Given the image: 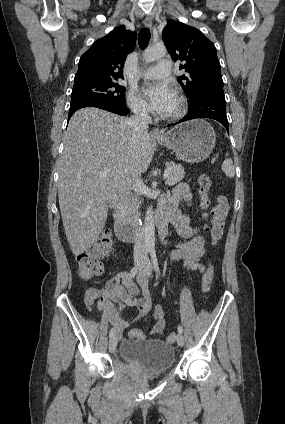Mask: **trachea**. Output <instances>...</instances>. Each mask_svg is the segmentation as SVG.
<instances>
[{
	"label": "trachea",
	"mask_w": 285,
	"mask_h": 424,
	"mask_svg": "<svg viewBox=\"0 0 285 424\" xmlns=\"http://www.w3.org/2000/svg\"><path fill=\"white\" fill-rule=\"evenodd\" d=\"M150 37H151V34L148 28H143L140 30L139 36H138V43L141 49H144L147 46L150 40Z\"/></svg>",
	"instance_id": "trachea-1"
}]
</instances>
